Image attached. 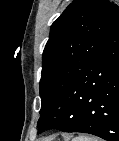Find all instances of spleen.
I'll use <instances>...</instances> for the list:
<instances>
[{
  "mask_svg": "<svg viewBox=\"0 0 119 141\" xmlns=\"http://www.w3.org/2000/svg\"><path fill=\"white\" fill-rule=\"evenodd\" d=\"M74 141H97V140H95V139H93L91 137H82V136H80V137L75 138Z\"/></svg>",
  "mask_w": 119,
  "mask_h": 141,
  "instance_id": "1",
  "label": "spleen"
}]
</instances>
